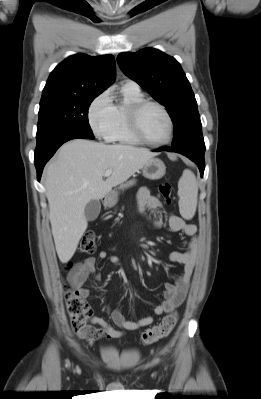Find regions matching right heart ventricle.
I'll use <instances>...</instances> for the list:
<instances>
[{"mask_svg": "<svg viewBox=\"0 0 261 399\" xmlns=\"http://www.w3.org/2000/svg\"><path fill=\"white\" fill-rule=\"evenodd\" d=\"M122 92L125 98V104L114 105V125L110 140L126 144H138L140 142L136 140L129 131L126 111L131 103L142 100L143 95L140 91L122 89Z\"/></svg>", "mask_w": 261, "mask_h": 399, "instance_id": "1", "label": "right heart ventricle"}]
</instances>
